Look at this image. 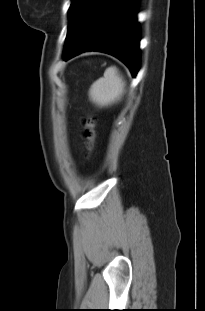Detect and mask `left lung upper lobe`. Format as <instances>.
<instances>
[{
	"instance_id": "1",
	"label": "left lung upper lobe",
	"mask_w": 205,
	"mask_h": 311,
	"mask_svg": "<svg viewBox=\"0 0 205 311\" xmlns=\"http://www.w3.org/2000/svg\"><path fill=\"white\" fill-rule=\"evenodd\" d=\"M119 0H72L64 52L77 47L110 14Z\"/></svg>"
}]
</instances>
